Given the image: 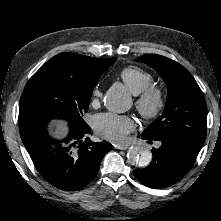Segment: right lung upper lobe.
Returning <instances> with one entry per match:
<instances>
[{
	"label": "right lung upper lobe",
	"instance_id": "obj_1",
	"mask_svg": "<svg viewBox=\"0 0 221 221\" xmlns=\"http://www.w3.org/2000/svg\"><path fill=\"white\" fill-rule=\"evenodd\" d=\"M103 60V58L61 53L51 58L42 68H51L56 74L75 80H95Z\"/></svg>",
	"mask_w": 221,
	"mask_h": 221
}]
</instances>
